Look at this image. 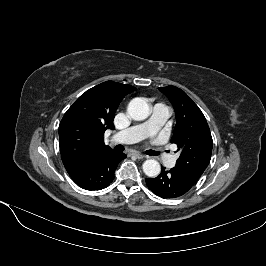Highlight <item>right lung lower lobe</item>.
<instances>
[{
  "mask_svg": "<svg viewBox=\"0 0 266 266\" xmlns=\"http://www.w3.org/2000/svg\"><path fill=\"white\" fill-rule=\"evenodd\" d=\"M126 158L124 153L110 151L94 157L74 171L68 172L73 181L86 190H101L114 179L119 162Z\"/></svg>",
  "mask_w": 266,
  "mask_h": 266,
  "instance_id": "right-lung-lower-lobe-1",
  "label": "right lung lower lobe"
}]
</instances>
